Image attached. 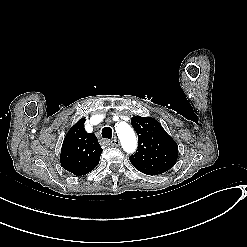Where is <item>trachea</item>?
I'll list each match as a JSON object with an SVG mask.
<instances>
[{"label":"trachea","mask_w":247,"mask_h":247,"mask_svg":"<svg viewBox=\"0 0 247 247\" xmlns=\"http://www.w3.org/2000/svg\"><path fill=\"white\" fill-rule=\"evenodd\" d=\"M102 137L106 139L112 138V129L110 127H105L102 129Z\"/></svg>","instance_id":"3493384b"}]
</instances>
